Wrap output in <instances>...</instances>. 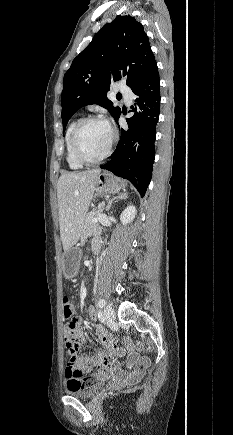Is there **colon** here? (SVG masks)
I'll use <instances>...</instances> for the list:
<instances>
[{"label": "colon", "instance_id": "5ec220e1", "mask_svg": "<svg viewBox=\"0 0 233 435\" xmlns=\"http://www.w3.org/2000/svg\"><path fill=\"white\" fill-rule=\"evenodd\" d=\"M63 314L65 318H73L69 323H67L64 327V340H65V357L67 360L68 365H72L77 367L78 370V376L80 378L79 382L74 384L77 388L86 387L87 385L91 384L92 381L85 378L86 370L78 367V357L77 352L79 350L78 348V341H79V332L78 328L76 326V318L74 317V310L71 306V302L69 301L68 297H64L63 300ZM125 345H129L130 342L128 340L124 341ZM117 348V341L113 338H110V340L105 344V352L110 353L115 351ZM138 348H141L140 345H138ZM97 366H100V364H97Z\"/></svg>", "mask_w": 233, "mask_h": 435}]
</instances>
